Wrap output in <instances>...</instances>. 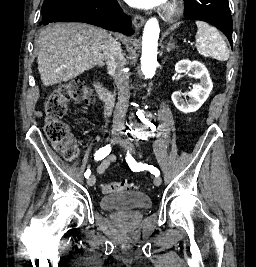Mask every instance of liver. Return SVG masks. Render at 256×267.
<instances>
[{
  "label": "liver",
  "instance_id": "6515ba94",
  "mask_svg": "<svg viewBox=\"0 0 256 267\" xmlns=\"http://www.w3.org/2000/svg\"><path fill=\"white\" fill-rule=\"evenodd\" d=\"M109 34L89 24H50L39 34L38 72L43 86L68 82L103 64L101 46Z\"/></svg>",
  "mask_w": 256,
  "mask_h": 267
}]
</instances>
